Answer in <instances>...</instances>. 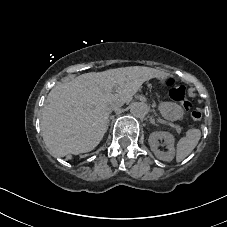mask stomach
Listing matches in <instances>:
<instances>
[{
    "mask_svg": "<svg viewBox=\"0 0 227 227\" xmlns=\"http://www.w3.org/2000/svg\"><path fill=\"white\" fill-rule=\"evenodd\" d=\"M160 114L169 121L179 120L183 117V109L174 102H162L158 107Z\"/></svg>",
    "mask_w": 227,
    "mask_h": 227,
    "instance_id": "0dacf381",
    "label": "stomach"
}]
</instances>
